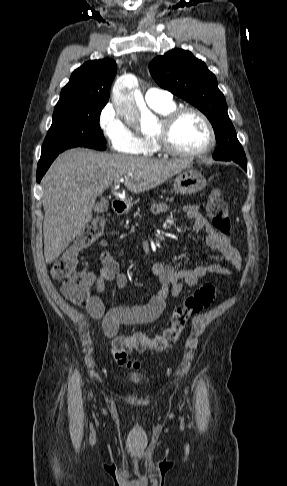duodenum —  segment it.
Returning <instances> with one entry per match:
<instances>
[{"label":"duodenum","instance_id":"duodenum-1","mask_svg":"<svg viewBox=\"0 0 287 486\" xmlns=\"http://www.w3.org/2000/svg\"><path fill=\"white\" fill-rule=\"evenodd\" d=\"M125 208H126L125 203L120 199H116L112 202V209H113V212L115 214H118V215L122 214L124 212Z\"/></svg>","mask_w":287,"mask_h":486}]
</instances>
